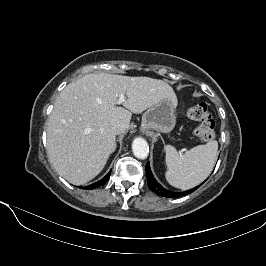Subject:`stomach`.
Here are the masks:
<instances>
[{"instance_id":"obj_1","label":"stomach","mask_w":266,"mask_h":266,"mask_svg":"<svg viewBox=\"0 0 266 266\" xmlns=\"http://www.w3.org/2000/svg\"><path fill=\"white\" fill-rule=\"evenodd\" d=\"M175 105L170 99H162L151 106L142 116V128L170 132L175 126Z\"/></svg>"}]
</instances>
